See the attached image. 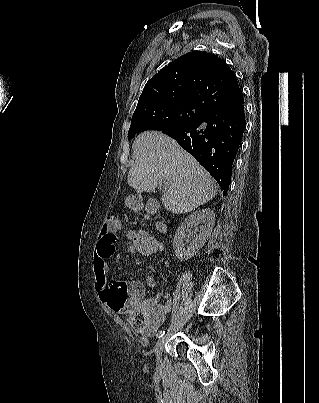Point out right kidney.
<instances>
[{
  "instance_id": "1",
  "label": "right kidney",
  "mask_w": 319,
  "mask_h": 403,
  "mask_svg": "<svg viewBox=\"0 0 319 403\" xmlns=\"http://www.w3.org/2000/svg\"><path fill=\"white\" fill-rule=\"evenodd\" d=\"M200 224L199 233L186 236L190 226ZM215 224V213L210 208L202 209L189 215L176 230L173 247L180 261H186L196 255L211 235Z\"/></svg>"
}]
</instances>
